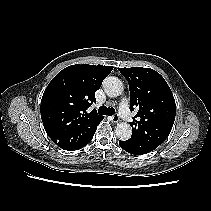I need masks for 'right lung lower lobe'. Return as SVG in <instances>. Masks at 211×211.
Listing matches in <instances>:
<instances>
[{
	"label": "right lung lower lobe",
	"mask_w": 211,
	"mask_h": 211,
	"mask_svg": "<svg viewBox=\"0 0 211 211\" xmlns=\"http://www.w3.org/2000/svg\"><path fill=\"white\" fill-rule=\"evenodd\" d=\"M95 131H94V133H95ZM94 133L89 137V139L86 141V143L84 144V146L87 145L91 141V139L93 138Z\"/></svg>",
	"instance_id": "right-lung-lower-lobe-1"
}]
</instances>
